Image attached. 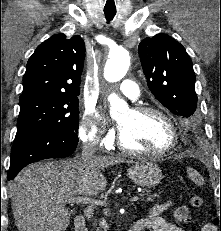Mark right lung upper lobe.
Instances as JSON below:
<instances>
[{"instance_id":"right-lung-upper-lobe-1","label":"right lung upper lobe","mask_w":221,"mask_h":231,"mask_svg":"<svg viewBox=\"0 0 221 231\" xmlns=\"http://www.w3.org/2000/svg\"><path fill=\"white\" fill-rule=\"evenodd\" d=\"M85 58L80 36L56 34L41 43L27 62L20 99L33 96H78Z\"/></svg>"}]
</instances>
